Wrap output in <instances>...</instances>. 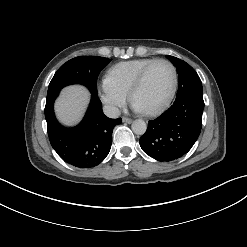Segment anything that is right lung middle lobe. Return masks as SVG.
Returning <instances> with one entry per match:
<instances>
[{"mask_svg":"<svg viewBox=\"0 0 247 247\" xmlns=\"http://www.w3.org/2000/svg\"><path fill=\"white\" fill-rule=\"evenodd\" d=\"M110 59L98 56H80L63 64L53 76L47 96L59 92L70 84H83L93 95H97V77Z\"/></svg>","mask_w":247,"mask_h":247,"instance_id":"right-lung-middle-lobe-1","label":"right lung middle lobe"}]
</instances>
